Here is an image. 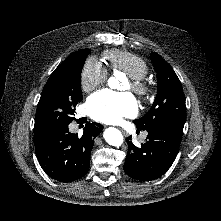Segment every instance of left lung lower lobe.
Listing matches in <instances>:
<instances>
[{
    "instance_id": "1",
    "label": "left lung lower lobe",
    "mask_w": 221,
    "mask_h": 221,
    "mask_svg": "<svg viewBox=\"0 0 221 221\" xmlns=\"http://www.w3.org/2000/svg\"><path fill=\"white\" fill-rule=\"evenodd\" d=\"M183 126L184 123L178 121L154 125L147 130L146 142L140 147L135 146L128 137L125 173L141 181H151L165 174L179 151Z\"/></svg>"
}]
</instances>
